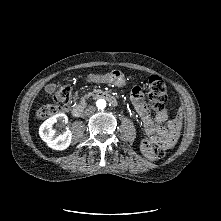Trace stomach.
<instances>
[{
    "instance_id": "0dacf381",
    "label": "stomach",
    "mask_w": 221,
    "mask_h": 221,
    "mask_svg": "<svg viewBox=\"0 0 221 221\" xmlns=\"http://www.w3.org/2000/svg\"><path fill=\"white\" fill-rule=\"evenodd\" d=\"M87 79L95 83H109L114 84L117 87H122L125 85L126 80L123 72L118 69H114L106 74H89Z\"/></svg>"
}]
</instances>
